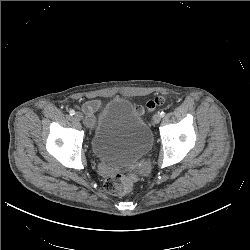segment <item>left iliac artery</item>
<instances>
[{
  "label": "left iliac artery",
  "mask_w": 250,
  "mask_h": 250,
  "mask_svg": "<svg viewBox=\"0 0 250 250\" xmlns=\"http://www.w3.org/2000/svg\"><path fill=\"white\" fill-rule=\"evenodd\" d=\"M164 115H165V112H164V111L160 112V116H161V117H164Z\"/></svg>",
  "instance_id": "1"
}]
</instances>
